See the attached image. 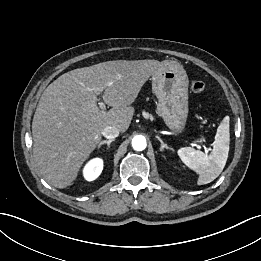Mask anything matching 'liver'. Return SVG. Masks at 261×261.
<instances>
[{"mask_svg":"<svg viewBox=\"0 0 261 261\" xmlns=\"http://www.w3.org/2000/svg\"><path fill=\"white\" fill-rule=\"evenodd\" d=\"M157 60H114L64 73L43 92L32 121L33 158L44 179L66 188L100 143L107 126L126 132L131 105L159 68ZM110 84V85H109ZM104 88L100 110L96 88Z\"/></svg>","mask_w":261,"mask_h":261,"instance_id":"obj_1","label":"liver"}]
</instances>
